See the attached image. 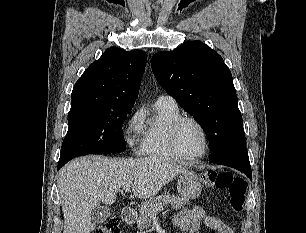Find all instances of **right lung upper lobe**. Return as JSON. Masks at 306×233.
Here are the masks:
<instances>
[{
  "mask_svg": "<svg viewBox=\"0 0 306 233\" xmlns=\"http://www.w3.org/2000/svg\"><path fill=\"white\" fill-rule=\"evenodd\" d=\"M145 65L142 50L107 49L74 85L71 105L133 107Z\"/></svg>",
  "mask_w": 306,
  "mask_h": 233,
  "instance_id": "1",
  "label": "right lung upper lobe"
}]
</instances>
